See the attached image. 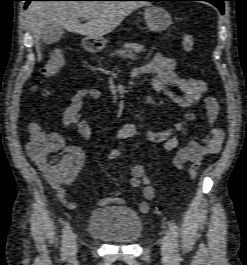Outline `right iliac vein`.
Instances as JSON below:
<instances>
[{
  "label": "right iliac vein",
  "mask_w": 247,
  "mask_h": 265,
  "mask_svg": "<svg viewBox=\"0 0 247 265\" xmlns=\"http://www.w3.org/2000/svg\"><path fill=\"white\" fill-rule=\"evenodd\" d=\"M77 255V241L76 236L74 233L70 234L69 240H68V256L71 261H74L76 259Z\"/></svg>",
  "instance_id": "63e3f726"
}]
</instances>
